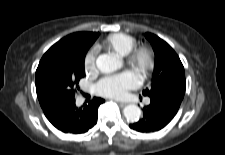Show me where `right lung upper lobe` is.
<instances>
[{"label":"right lung upper lobe","mask_w":225,"mask_h":155,"mask_svg":"<svg viewBox=\"0 0 225 155\" xmlns=\"http://www.w3.org/2000/svg\"><path fill=\"white\" fill-rule=\"evenodd\" d=\"M99 36L96 32H77L70 34L57 43H55L42 57L41 60L45 59L53 53H65L71 52L76 49H81L87 52L89 47L94 43V41ZM37 97L39 99L40 105L43 108L49 106L54 100L48 98L36 84Z\"/></svg>","instance_id":"obj_1"}]
</instances>
